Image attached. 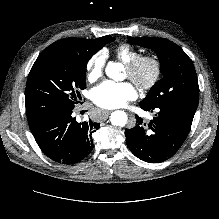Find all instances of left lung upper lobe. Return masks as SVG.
<instances>
[{
	"instance_id": "5c2ea615",
	"label": "left lung upper lobe",
	"mask_w": 219,
	"mask_h": 219,
	"mask_svg": "<svg viewBox=\"0 0 219 219\" xmlns=\"http://www.w3.org/2000/svg\"><path fill=\"white\" fill-rule=\"evenodd\" d=\"M128 40L154 50L161 63V72L164 73V77L153 85L141 104L157 106L185 97H199L198 79L193 62L178 45L156 37H128Z\"/></svg>"
}]
</instances>
